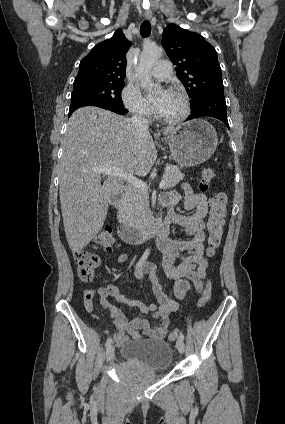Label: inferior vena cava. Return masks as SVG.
Listing matches in <instances>:
<instances>
[{
    "label": "inferior vena cava",
    "instance_id": "inferior-vena-cava-1",
    "mask_svg": "<svg viewBox=\"0 0 285 424\" xmlns=\"http://www.w3.org/2000/svg\"><path fill=\"white\" fill-rule=\"evenodd\" d=\"M131 123L137 131H147L149 123L147 119L141 113H135L131 119Z\"/></svg>",
    "mask_w": 285,
    "mask_h": 424
}]
</instances>
